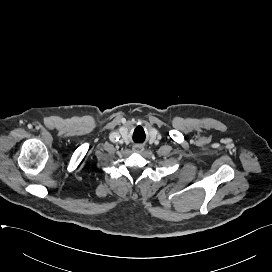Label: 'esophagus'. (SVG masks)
<instances>
[{"instance_id":"34e87169","label":"esophagus","mask_w":272,"mask_h":272,"mask_svg":"<svg viewBox=\"0 0 272 272\" xmlns=\"http://www.w3.org/2000/svg\"><path fill=\"white\" fill-rule=\"evenodd\" d=\"M143 150H144V147L141 145H135L133 147V151H135V152H142Z\"/></svg>"}]
</instances>
